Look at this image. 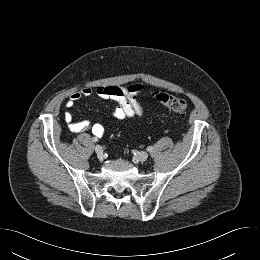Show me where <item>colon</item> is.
Here are the masks:
<instances>
[{
  "instance_id": "colon-1",
  "label": "colon",
  "mask_w": 260,
  "mask_h": 260,
  "mask_svg": "<svg viewBox=\"0 0 260 260\" xmlns=\"http://www.w3.org/2000/svg\"><path fill=\"white\" fill-rule=\"evenodd\" d=\"M155 99L157 102L175 113H184L189 108V105L185 100L170 94L157 93Z\"/></svg>"
}]
</instances>
